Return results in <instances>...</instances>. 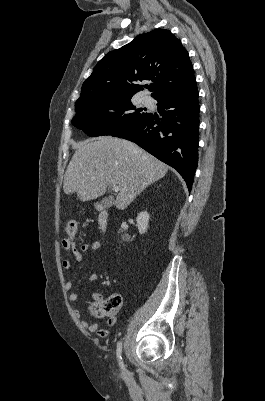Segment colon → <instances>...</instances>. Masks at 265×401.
<instances>
[{
    "label": "colon",
    "mask_w": 265,
    "mask_h": 401,
    "mask_svg": "<svg viewBox=\"0 0 265 401\" xmlns=\"http://www.w3.org/2000/svg\"><path fill=\"white\" fill-rule=\"evenodd\" d=\"M66 240L72 242L77 234V222L69 220L66 224ZM122 304L121 296L112 295L106 299H101L92 304L91 310L94 315L100 318H112L119 310Z\"/></svg>",
    "instance_id": "colon-1"
}]
</instances>
